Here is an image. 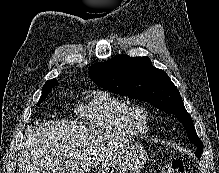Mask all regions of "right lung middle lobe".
Here are the masks:
<instances>
[{
    "mask_svg": "<svg viewBox=\"0 0 219 173\" xmlns=\"http://www.w3.org/2000/svg\"><path fill=\"white\" fill-rule=\"evenodd\" d=\"M57 85V83H52V82H48L46 84H44L43 86V92H42V96L39 100V102L37 103V105H39L42 101H44L47 97V95L49 94V92L51 91V89L53 87H55Z\"/></svg>",
    "mask_w": 219,
    "mask_h": 173,
    "instance_id": "obj_1",
    "label": "right lung middle lobe"
}]
</instances>
